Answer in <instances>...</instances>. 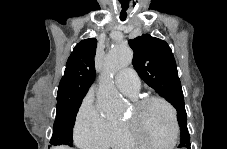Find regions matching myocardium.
<instances>
[{
	"label": "myocardium",
	"instance_id": "f54148a6",
	"mask_svg": "<svg viewBox=\"0 0 227 149\" xmlns=\"http://www.w3.org/2000/svg\"><path fill=\"white\" fill-rule=\"evenodd\" d=\"M151 103H161L163 104L171 113V117L173 120V136L172 139L169 143H156L153 142L149 139H147L138 129L136 126V120L135 119H126L124 121V124L131 135V137L136 140L140 145L143 146H150V147H156V148H164V147H172L177 143L178 140V135L180 131L179 127V121H178V116L176 109L173 107V105L168 102L167 100L161 98V97H156V96H151V97H146L137 100L133 104V110L135 113H139L144 107Z\"/></svg>",
	"mask_w": 227,
	"mask_h": 149
}]
</instances>
